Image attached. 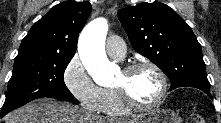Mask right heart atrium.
<instances>
[{
  "label": "right heart atrium",
  "instance_id": "d8ad5b80",
  "mask_svg": "<svg viewBox=\"0 0 221 123\" xmlns=\"http://www.w3.org/2000/svg\"><path fill=\"white\" fill-rule=\"evenodd\" d=\"M63 81L83 108L93 112L101 110L103 89L94 83L78 56H74L66 65Z\"/></svg>",
  "mask_w": 221,
  "mask_h": 123
}]
</instances>
